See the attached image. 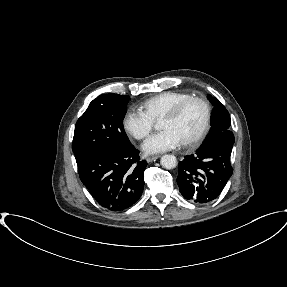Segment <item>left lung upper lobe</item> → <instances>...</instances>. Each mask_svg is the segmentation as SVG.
I'll list each match as a JSON object with an SVG mask.
<instances>
[{
	"label": "left lung upper lobe",
	"instance_id": "left-lung-upper-lobe-1",
	"mask_svg": "<svg viewBox=\"0 0 287 287\" xmlns=\"http://www.w3.org/2000/svg\"><path fill=\"white\" fill-rule=\"evenodd\" d=\"M208 99L214 106V109L211 113V129L202 145L208 144L221 134L229 131L231 125L229 112L221 102L210 95L208 96Z\"/></svg>",
	"mask_w": 287,
	"mask_h": 287
}]
</instances>
